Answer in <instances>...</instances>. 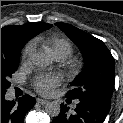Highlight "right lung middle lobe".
Wrapping results in <instances>:
<instances>
[{
    "label": "right lung middle lobe",
    "mask_w": 123,
    "mask_h": 123,
    "mask_svg": "<svg viewBox=\"0 0 123 123\" xmlns=\"http://www.w3.org/2000/svg\"><path fill=\"white\" fill-rule=\"evenodd\" d=\"M19 54L13 56L1 55V93H6L10 87L9 78L18 69Z\"/></svg>",
    "instance_id": "1"
}]
</instances>
